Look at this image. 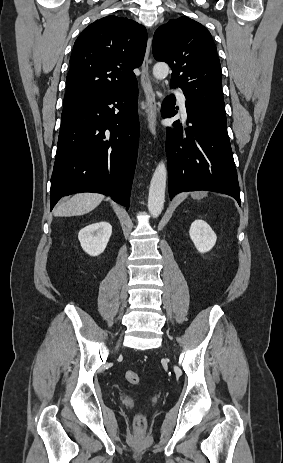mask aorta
Masks as SVG:
<instances>
[{
  "instance_id": "obj_1",
  "label": "aorta",
  "mask_w": 283,
  "mask_h": 463,
  "mask_svg": "<svg viewBox=\"0 0 283 463\" xmlns=\"http://www.w3.org/2000/svg\"><path fill=\"white\" fill-rule=\"evenodd\" d=\"M168 73L169 66L164 62H158L153 67V76L156 79H164ZM166 178V166L161 161L153 173L148 196V210L154 218H157L161 214L164 207Z\"/></svg>"
}]
</instances>
